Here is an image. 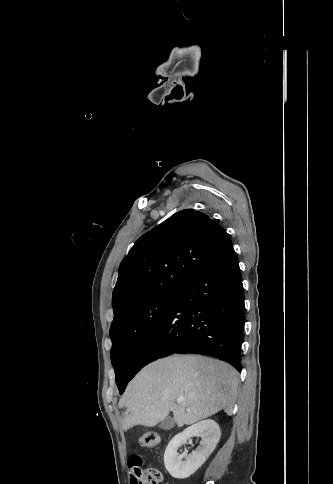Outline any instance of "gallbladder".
<instances>
[{"instance_id":"gallbladder-1","label":"gallbladder","mask_w":333,"mask_h":484,"mask_svg":"<svg viewBox=\"0 0 333 484\" xmlns=\"http://www.w3.org/2000/svg\"><path fill=\"white\" fill-rule=\"evenodd\" d=\"M175 426V421L171 416H167L159 424V427L163 430H170Z\"/></svg>"}]
</instances>
